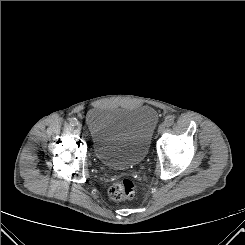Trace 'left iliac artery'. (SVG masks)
Instances as JSON below:
<instances>
[{"mask_svg": "<svg viewBox=\"0 0 245 245\" xmlns=\"http://www.w3.org/2000/svg\"><path fill=\"white\" fill-rule=\"evenodd\" d=\"M173 123H174V118L172 116L166 117V119H165V125L167 127L173 125Z\"/></svg>", "mask_w": 245, "mask_h": 245, "instance_id": "44dca946", "label": "left iliac artery"}]
</instances>
